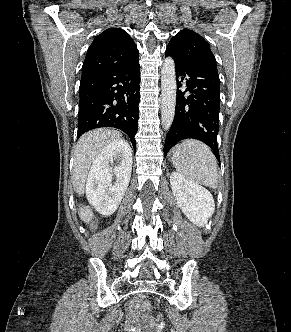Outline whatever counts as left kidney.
<instances>
[{
	"instance_id": "1",
	"label": "left kidney",
	"mask_w": 291,
	"mask_h": 332,
	"mask_svg": "<svg viewBox=\"0 0 291 332\" xmlns=\"http://www.w3.org/2000/svg\"><path fill=\"white\" fill-rule=\"evenodd\" d=\"M170 184L182 212L193 224L203 227L215 210L212 194L179 172L171 174Z\"/></svg>"
}]
</instances>
